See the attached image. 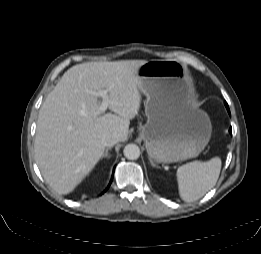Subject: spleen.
<instances>
[{
    "label": "spleen",
    "mask_w": 261,
    "mask_h": 254,
    "mask_svg": "<svg viewBox=\"0 0 261 254\" xmlns=\"http://www.w3.org/2000/svg\"><path fill=\"white\" fill-rule=\"evenodd\" d=\"M221 159L214 157L207 162L193 161L177 169L179 195L185 202H193L211 190L220 175Z\"/></svg>",
    "instance_id": "spleen-1"
}]
</instances>
